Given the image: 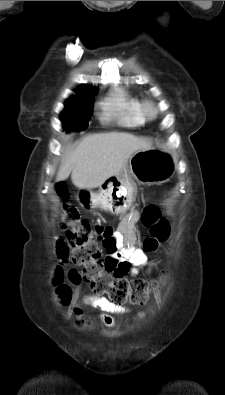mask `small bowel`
<instances>
[{"label":"small bowel","mask_w":225,"mask_h":395,"mask_svg":"<svg viewBox=\"0 0 225 395\" xmlns=\"http://www.w3.org/2000/svg\"><path fill=\"white\" fill-rule=\"evenodd\" d=\"M137 219L136 214L127 217L118 233L110 228H97L99 239L107 251L108 271L116 277H125L126 275H136L142 267H152L153 262H149L147 256L134 245V239L130 233V228ZM56 259L60 260L61 266L67 265V260L71 259V247L68 240L63 237L55 238ZM68 279L73 281L74 289H84L85 284L81 279L79 267H68ZM86 303L97 307L102 311L101 321L108 327H113L116 323L112 314L125 313L124 307L110 302L108 299L99 296H88ZM75 314L81 315V310L74 309Z\"/></svg>","instance_id":"obj_1"}]
</instances>
